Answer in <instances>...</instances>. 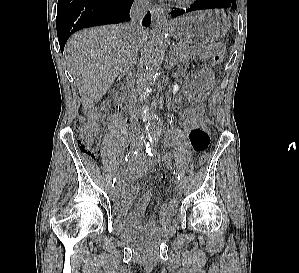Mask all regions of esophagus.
Returning <instances> with one entry per match:
<instances>
[{
    "label": "esophagus",
    "instance_id": "obj_1",
    "mask_svg": "<svg viewBox=\"0 0 299 273\" xmlns=\"http://www.w3.org/2000/svg\"><path fill=\"white\" fill-rule=\"evenodd\" d=\"M151 15L156 20L161 18L164 15V9L163 7L159 5H155L151 8Z\"/></svg>",
    "mask_w": 299,
    "mask_h": 273
}]
</instances>
